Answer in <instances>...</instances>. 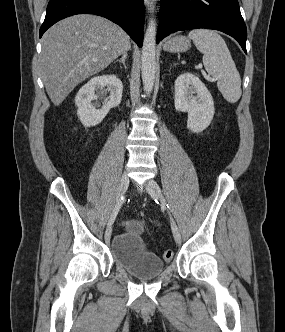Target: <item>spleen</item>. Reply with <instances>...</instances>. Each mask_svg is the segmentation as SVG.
Wrapping results in <instances>:
<instances>
[{"label":"spleen","mask_w":285,"mask_h":332,"mask_svg":"<svg viewBox=\"0 0 285 332\" xmlns=\"http://www.w3.org/2000/svg\"><path fill=\"white\" fill-rule=\"evenodd\" d=\"M188 37L203 53V64L229 103H236L242 94L241 78L224 39L214 30L195 29Z\"/></svg>","instance_id":"spleen-1"}]
</instances>
